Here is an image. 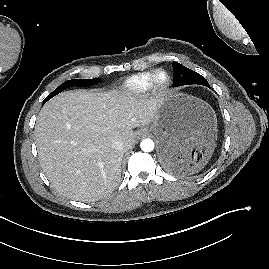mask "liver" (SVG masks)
I'll use <instances>...</instances> for the list:
<instances>
[{
  "label": "liver",
  "instance_id": "liver-1",
  "mask_svg": "<svg viewBox=\"0 0 269 269\" xmlns=\"http://www.w3.org/2000/svg\"><path fill=\"white\" fill-rule=\"evenodd\" d=\"M158 100L130 92L66 91L38 114L35 143L53 187L78 201H96L121 179L124 152L135 144L134 128L153 122ZM121 139L124 149L112 147Z\"/></svg>",
  "mask_w": 269,
  "mask_h": 269
}]
</instances>
